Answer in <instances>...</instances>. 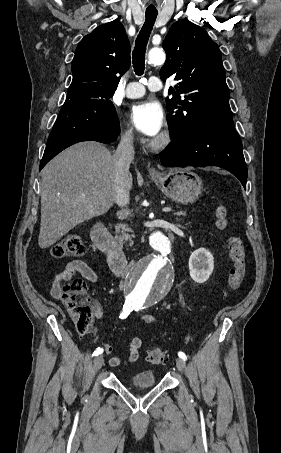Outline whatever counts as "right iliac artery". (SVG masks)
<instances>
[{
  "label": "right iliac artery",
  "mask_w": 281,
  "mask_h": 453,
  "mask_svg": "<svg viewBox=\"0 0 281 453\" xmlns=\"http://www.w3.org/2000/svg\"><path fill=\"white\" fill-rule=\"evenodd\" d=\"M132 310H133V307H132L131 305L124 304V306H123V312L120 314V318H121V319L126 318V317L130 314V312H131ZM102 352H103V349L100 348V347H98V348L94 351V353L92 354V357H93V356H98L99 354H102Z\"/></svg>",
  "instance_id": "82829eb1"
}]
</instances>
